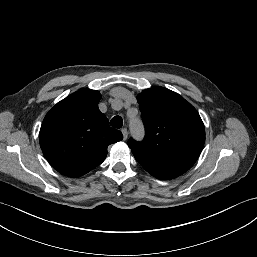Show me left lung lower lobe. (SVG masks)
Listing matches in <instances>:
<instances>
[{
    "label": "left lung lower lobe",
    "instance_id": "1",
    "mask_svg": "<svg viewBox=\"0 0 257 257\" xmlns=\"http://www.w3.org/2000/svg\"><path fill=\"white\" fill-rule=\"evenodd\" d=\"M151 175L159 179H172L182 175L183 171H167V170H157V169H148Z\"/></svg>",
    "mask_w": 257,
    "mask_h": 257
}]
</instances>
